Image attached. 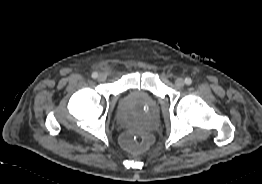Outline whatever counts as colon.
<instances>
[{"label": "colon", "mask_w": 262, "mask_h": 184, "mask_svg": "<svg viewBox=\"0 0 262 184\" xmlns=\"http://www.w3.org/2000/svg\"><path fill=\"white\" fill-rule=\"evenodd\" d=\"M149 142V136L144 133L125 134L122 137V144L124 148L134 152L144 150L148 146Z\"/></svg>", "instance_id": "1"}]
</instances>
